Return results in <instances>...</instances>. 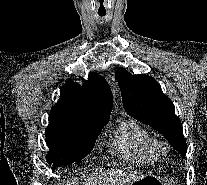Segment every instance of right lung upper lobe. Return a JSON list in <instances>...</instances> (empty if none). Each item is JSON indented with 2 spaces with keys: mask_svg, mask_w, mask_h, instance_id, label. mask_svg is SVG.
<instances>
[{
  "mask_svg": "<svg viewBox=\"0 0 207 185\" xmlns=\"http://www.w3.org/2000/svg\"><path fill=\"white\" fill-rule=\"evenodd\" d=\"M60 97L50 112V122L89 128H103L107 124L113 98L107 82L100 75L91 73L82 87L69 80L61 89Z\"/></svg>",
  "mask_w": 207,
  "mask_h": 185,
  "instance_id": "right-lung-upper-lobe-1",
  "label": "right lung upper lobe"
}]
</instances>
